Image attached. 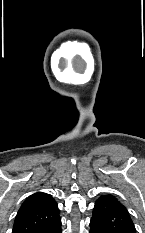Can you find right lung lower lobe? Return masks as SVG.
I'll return each mask as SVG.
<instances>
[{"label":"right lung lower lobe","mask_w":145,"mask_h":233,"mask_svg":"<svg viewBox=\"0 0 145 233\" xmlns=\"http://www.w3.org/2000/svg\"><path fill=\"white\" fill-rule=\"evenodd\" d=\"M44 233H62L61 220L59 219L54 225H52Z\"/></svg>","instance_id":"98d812e1"}]
</instances>
